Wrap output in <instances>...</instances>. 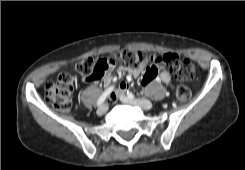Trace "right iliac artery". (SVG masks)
Segmentation results:
<instances>
[{
	"instance_id": "1",
	"label": "right iliac artery",
	"mask_w": 245,
	"mask_h": 170,
	"mask_svg": "<svg viewBox=\"0 0 245 170\" xmlns=\"http://www.w3.org/2000/svg\"><path fill=\"white\" fill-rule=\"evenodd\" d=\"M113 88L114 86H111L103 92V94L100 96V98L97 101V106H100L106 100V98L111 94Z\"/></svg>"
}]
</instances>
